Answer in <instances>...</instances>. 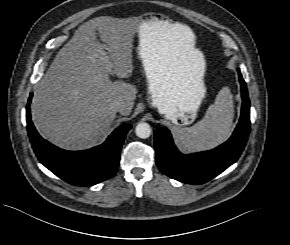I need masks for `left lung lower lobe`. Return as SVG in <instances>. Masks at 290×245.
Here are the masks:
<instances>
[{
	"mask_svg": "<svg viewBox=\"0 0 290 245\" xmlns=\"http://www.w3.org/2000/svg\"><path fill=\"white\" fill-rule=\"evenodd\" d=\"M242 92V110L239 123L228 141L215 149L184 155L173 143L168 129L154 132L156 163L165 175L188 184H203L232 165L241 155L250 130V101L246 83L238 70Z\"/></svg>",
	"mask_w": 290,
	"mask_h": 245,
	"instance_id": "0a47b994",
	"label": "left lung lower lobe"
}]
</instances>
